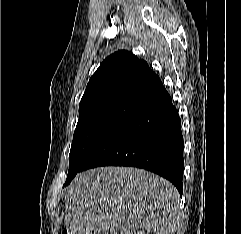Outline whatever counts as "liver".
<instances>
[{
  "label": "liver",
  "instance_id": "1",
  "mask_svg": "<svg viewBox=\"0 0 241 234\" xmlns=\"http://www.w3.org/2000/svg\"><path fill=\"white\" fill-rule=\"evenodd\" d=\"M65 201L70 234H173L182 226L176 187L143 169L111 166L82 172Z\"/></svg>",
  "mask_w": 241,
  "mask_h": 234
}]
</instances>
